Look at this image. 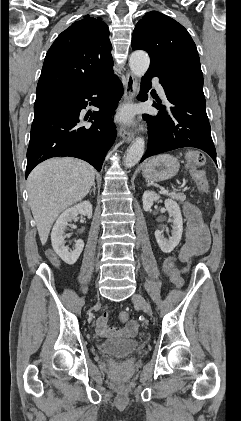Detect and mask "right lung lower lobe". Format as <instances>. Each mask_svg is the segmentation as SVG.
Returning a JSON list of instances; mask_svg holds the SVG:
<instances>
[{"mask_svg":"<svg viewBox=\"0 0 241 421\" xmlns=\"http://www.w3.org/2000/svg\"><path fill=\"white\" fill-rule=\"evenodd\" d=\"M122 94L123 86L111 71L90 85L36 98L26 178L40 162L57 156L83 159L100 171L116 137V126L109 115ZM91 103L100 110L90 116L89 122L94 120L91 127L80 126L88 119H83L80 112Z\"/></svg>","mask_w":241,"mask_h":421,"instance_id":"obj_1","label":"right lung lower lobe"}]
</instances>
